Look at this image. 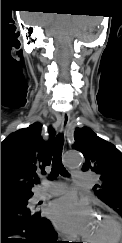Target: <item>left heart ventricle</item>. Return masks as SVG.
I'll return each instance as SVG.
<instances>
[{
    "instance_id": "1",
    "label": "left heart ventricle",
    "mask_w": 122,
    "mask_h": 243,
    "mask_svg": "<svg viewBox=\"0 0 122 243\" xmlns=\"http://www.w3.org/2000/svg\"><path fill=\"white\" fill-rule=\"evenodd\" d=\"M110 233V224L107 220L101 217H94L87 237L90 239H103Z\"/></svg>"
}]
</instances>
